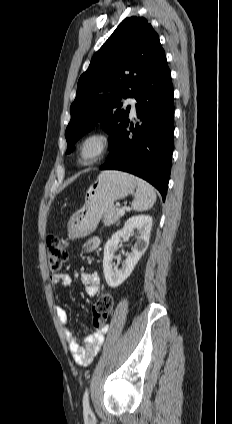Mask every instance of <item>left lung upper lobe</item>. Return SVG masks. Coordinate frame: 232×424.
<instances>
[{"label":"left lung upper lobe","mask_w":232,"mask_h":424,"mask_svg":"<svg viewBox=\"0 0 232 424\" xmlns=\"http://www.w3.org/2000/svg\"><path fill=\"white\" fill-rule=\"evenodd\" d=\"M165 58L157 33L143 17L124 19L93 56L77 85L66 128L67 153L98 122L111 136L109 147L128 117L121 99L135 92Z\"/></svg>","instance_id":"1"}]
</instances>
